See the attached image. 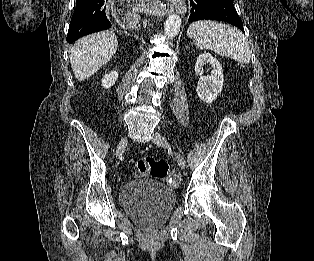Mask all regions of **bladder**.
<instances>
[{
	"label": "bladder",
	"instance_id": "1",
	"mask_svg": "<svg viewBox=\"0 0 314 261\" xmlns=\"http://www.w3.org/2000/svg\"><path fill=\"white\" fill-rule=\"evenodd\" d=\"M119 196L126 214L151 226L163 223L176 202L172 189L149 179L124 184Z\"/></svg>",
	"mask_w": 314,
	"mask_h": 261
}]
</instances>
